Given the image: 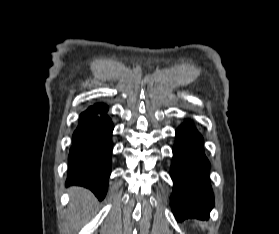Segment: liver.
<instances>
[{
	"instance_id": "1",
	"label": "liver",
	"mask_w": 279,
	"mask_h": 234,
	"mask_svg": "<svg viewBox=\"0 0 279 234\" xmlns=\"http://www.w3.org/2000/svg\"><path fill=\"white\" fill-rule=\"evenodd\" d=\"M97 200L86 189L74 187L71 190V202L67 211L70 230L76 231L88 222L95 213Z\"/></svg>"
}]
</instances>
